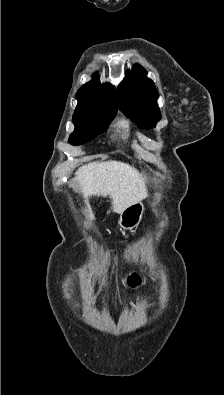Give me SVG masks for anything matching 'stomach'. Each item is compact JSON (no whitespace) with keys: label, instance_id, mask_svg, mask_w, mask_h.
<instances>
[{"label":"stomach","instance_id":"stomach-1","mask_svg":"<svg viewBox=\"0 0 224 395\" xmlns=\"http://www.w3.org/2000/svg\"><path fill=\"white\" fill-rule=\"evenodd\" d=\"M145 207L142 201L129 205L121 214L119 225L124 230H132L137 227L143 217Z\"/></svg>","mask_w":224,"mask_h":395}]
</instances>
